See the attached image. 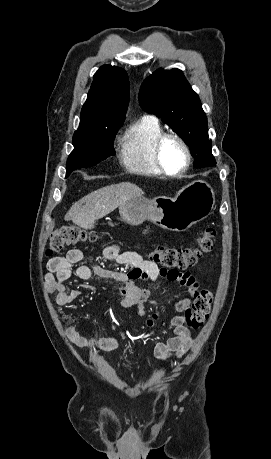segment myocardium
I'll list each match as a JSON object with an SVG mask.
<instances>
[{
    "label": "myocardium",
    "instance_id": "obj_1",
    "mask_svg": "<svg viewBox=\"0 0 271 459\" xmlns=\"http://www.w3.org/2000/svg\"><path fill=\"white\" fill-rule=\"evenodd\" d=\"M170 137L177 138L182 143L187 153V164L182 170H179V171H171L170 169L167 168V166L165 165L163 161L162 145L164 141ZM152 153H153V160L155 164L159 167V169L165 175L169 177H179V176L186 174L191 168L192 163H193V152H192L190 144L188 143V141L186 140L184 136H182L180 133L176 131H164L160 133L154 140Z\"/></svg>",
    "mask_w": 271,
    "mask_h": 459
}]
</instances>
